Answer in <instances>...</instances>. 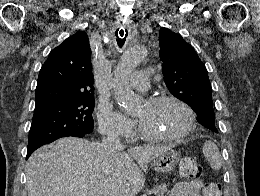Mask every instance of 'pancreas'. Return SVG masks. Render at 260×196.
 I'll return each instance as SVG.
<instances>
[{
	"label": "pancreas",
	"instance_id": "pancreas-1",
	"mask_svg": "<svg viewBox=\"0 0 260 196\" xmlns=\"http://www.w3.org/2000/svg\"><path fill=\"white\" fill-rule=\"evenodd\" d=\"M152 192H154L155 196H166V194H168L167 184H160V186H155Z\"/></svg>",
	"mask_w": 260,
	"mask_h": 196
}]
</instances>
